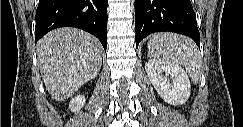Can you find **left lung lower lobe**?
Instances as JSON below:
<instances>
[{"label":"left lung lower lobe","instance_id":"0a47b994","mask_svg":"<svg viewBox=\"0 0 243 127\" xmlns=\"http://www.w3.org/2000/svg\"><path fill=\"white\" fill-rule=\"evenodd\" d=\"M136 47L153 32L170 31L192 38L200 46V33L190 0H135Z\"/></svg>","mask_w":243,"mask_h":127}]
</instances>
